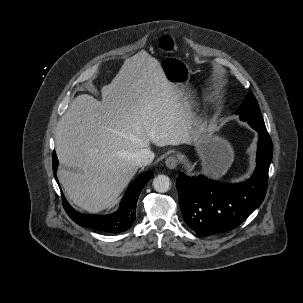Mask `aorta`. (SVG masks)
<instances>
[{
  "instance_id": "762f6f07",
  "label": "aorta",
  "mask_w": 303,
  "mask_h": 303,
  "mask_svg": "<svg viewBox=\"0 0 303 303\" xmlns=\"http://www.w3.org/2000/svg\"><path fill=\"white\" fill-rule=\"evenodd\" d=\"M170 186V179L166 175H158L153 180V187L157 192H167L170 189Z\"/></svg>"
}]
</instances>
